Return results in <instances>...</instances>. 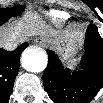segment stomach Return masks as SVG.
I'll list each match as a JSON object with an SVG mask.
<instances>
[{
  "label": "stomach",
  "mask_w": 103,
  "mask_h": 103,
  "mask_svg": "<svg viewBox=\"0 0 103 103\" xmlns=\"http://www.w3.org/2000/svg\"><path fill=\"white\" fill-rule=\"evenodd\" d=\"M48 42L64 61L70 62L75 59L82 46V36L78 33L49 39Z\"/></svg>",
  "instance_id": "1"
}]
</instances>
